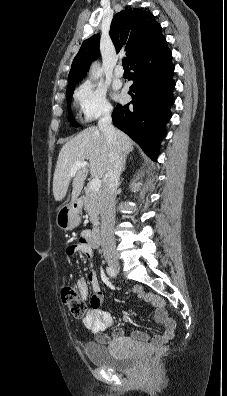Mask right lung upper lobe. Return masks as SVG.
Instances as JSON below:
<instances>
[{
    "label": "right lung upper lobe",
    "instance_id": "obj_1",
    "mask_svg": "<svg viewBox=\"0 0 227 396\" xmlns=\"http://www.w3.org/2000/svg\"><path fill=\"white\" fill-rule=\"evenodd\" d=\"M110 36L117 53L124 50L129 63L144 50L166 40L153 14L137 8H127L113 17ZM99 42L100 36L96 34L82 43L72 62L67 91L75 87L85 76L90 63L99 57Z\"/></svg>",
    "mask_w": 227,
    "mask_h": 396
}]
</instances>
